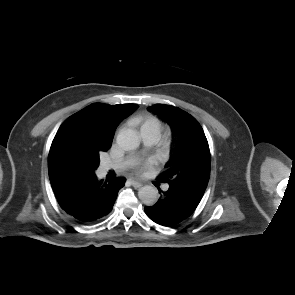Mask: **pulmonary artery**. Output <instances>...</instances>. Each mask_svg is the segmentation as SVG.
<instances>
[{"label": "pulmonary artery", "instance_id": "obj_1", "mask_svg": "<svg viewBox=\"0 0 295 295\" xmlns=\"http://www.w3.org/2000/svg\"><path fill=\"white\" fill-rule=\"evenodd\" d=\"M141 137L143 142L148 146L153 145L157 141V138L150 133L141 132ZM130 163H131V159L126 158L124 160H120L116 162L105 163L103 164L102 169L104 171H108L110 169L122 170V169H125L127 166H129ZM165 188H167V186H165Z\"/></svg>", "mask_w": 295, "mask_h": 295}]
</instances>
